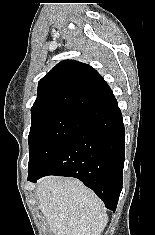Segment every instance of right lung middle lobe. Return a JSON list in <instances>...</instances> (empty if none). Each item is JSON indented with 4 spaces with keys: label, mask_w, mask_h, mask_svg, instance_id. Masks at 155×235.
Instances as JSON below:
<instances>
[{
    "label": "right lung middle lobe",
    "mask_w": 155,
    "mask_h": 235,
    "mask_svg": "<svg viewBox=\"0 0 155 235\" xmlns=\"http://www.w3.org/2000/svg\"><path fill=\"white\" fill-rule=\"evenodd\" d=\"M31 120L28 173L43 168L64 144L89 124L57 110L32 113Z\"/></svg>",
    "instance_id": "1"
}]
</instances>
